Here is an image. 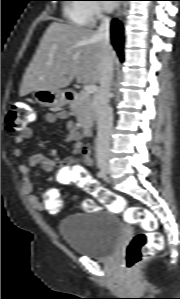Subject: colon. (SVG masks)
<instances>
[{
    "label": "colon",
    "mask_w": 180,
    "mask_h": 299,
    "mask_svg": "<svg viewBox=\"0 0 180 299\" xmlns=\"http://www.w3.org/2000/svg\"><path fill=\"white\" fill-rule=\"evenodd\" d=\"M35 117L36 113L31 105L23 102L13 103L6 116V128L11 132L21 130L31 124ZM73 180L79 182L81 188L93 195L99 204L116 213L124 212L127 223L138 225L143 230V232L135 234L126 247L124 262L128 268L136 266L153 255L154 252L163 249V237L156 232L157 220L150 211L139 206L127 207L122 197L102 187L85 173L78 175ZM44 207L47 212L52 214L61 211L62 200L57 190L49 189L45 193ZM81 208L85 212H92L98 209V205L92 199H85L81 203Z\"/></svg>",
    "instance_id": "5ec220e1"
}]
</instances>
